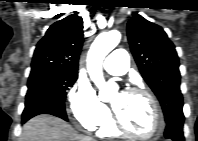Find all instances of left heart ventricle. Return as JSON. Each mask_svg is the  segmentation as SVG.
I'll use <instances>...</instances> for the list:
<instances>
[{
    "mask_svg": "<svg viewBox=\"0 0 198 141\" xmlns=\"http://www.w3.org/2000/svg\"><path fill=\"white\" fill-rule=\"evenodd\" d=\"M114 110L125 127L139 135H148L154 130L153 108L143 95L127 93L124 97L115 94Z\"/></svg>",
    "mask_w": 198,
    "mask_h": 141,
    "instance_id": "b2bd125f",
    "label": "left heart ventricle"
}]
</instances>
